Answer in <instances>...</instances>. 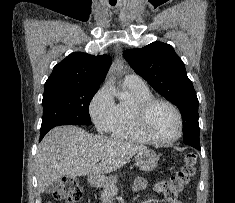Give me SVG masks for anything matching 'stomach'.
Here are the masks:
<instances>
[{
    "label": "stomach",
    "mask_w": 235,
    "mask_h": 203,
    "mask_svg": "<svg viewBox=\"0 0 235 203\" xmlns=\"http://www.w3.org/2000/svg\"><path fill=\"white\" fill-rule=\"evenodd\" d=\"M159 156L150 149L141 150L136 154L135 161L139 169L143 171H152L157 167ZM115 176H91L90 183L95 187L106 188L116 182Z\"/></svg>",
    "instance_id": "0dacf381"
}]
</instances>
